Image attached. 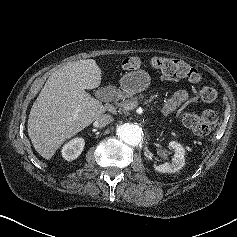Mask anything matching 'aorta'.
Wrapping results in <instances>:
<instances>
[{
    "label": "aorta",
    "mask_w": 237,
    "mask_h": 237,
    "mask_svg": "<svg viewBox=\"0 0 237 237\" xmlns=\"http://www.w3.org/2000/svg\"><path fill=\"white\" fill-rule=\"evenodd\" d=\"M116 133L120 140L132 146H137L142 140V129L136 124L117 125Z\"/></svg>",
    "instance_id": "1"
}]
</instances>
